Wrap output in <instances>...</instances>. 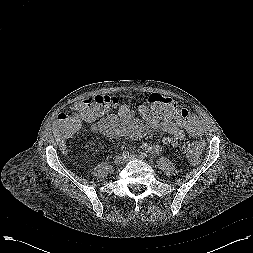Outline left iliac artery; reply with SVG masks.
<instances>
[{
    "label": "left iliac artery",
    "mask_w": 253,
    "mask_h": 253,
    "mask_svg": "<svg viewBox=\"0 0 253 253\" xmlns=\"http://www.w3.org/2000/svg\"><path fill=\"white\" fill-rule=\"evenodd\" d=\"M145 156H147L145 153H143V152H141L140 154H139V157H141V158H144Z\"/></svg>",
    "instance_id": "1"
}]
</instances>
